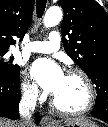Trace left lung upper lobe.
<instances>
[{
    "mask_svg": "<svg viewBox=\"0 0 108 127\" xmlns=\"http://www.w3.org/2000/svg\"><path fill=\"white\" fill-rule=\"evenodd\" d=\"M66 53L96 86V102L108 103V14L93 0H60Z\"/></svg>",
    "mask_w": 108,
    "mask_h": 127,
    "instance_id": "5c2ea615",
    "label": "left lung upper lobe"
}]
</instances>
